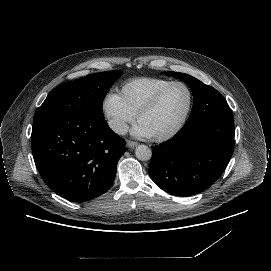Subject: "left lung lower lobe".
Here are the masks:
<instances>
[{"mask_svg":"<svg viewBox=\"0 0 271 271\" xmlns=\"http://www.w3.org/2000/svg\"><path fill=\"white\" fill-rule=\"evenodd\" d=\"M234 119L210 117L184 125L172 139L152 146L149 174L162 190L191 196L224 172L234 150Z\"/></svg>","mask_w":271,"mask_h":271,"instance_id":"1","label":"left lung lower lobe"}]
</instances>
